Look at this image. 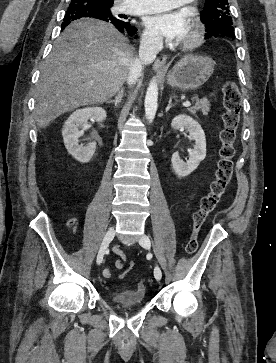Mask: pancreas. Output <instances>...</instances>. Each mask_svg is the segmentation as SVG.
I'll use <instances>...</instances> for the list:
<instances>
[{
  "label": "pancreas",
  "mask_w": 276,
  "mask_h": 363,
  "mask_svg": "<svg viewBox=\"0 0 276 363\" xmlns=\"http://www.w3.org/2000/svg\"><path fill=\"white\" fill-rule=\"evenodd\" d=\"M195 101V105L188 109L192 114H196L197 111H200L203 115H208L210 110V102L207 99H198L197 97H193Z\"/></svg>",
  "instance_id": "1"
}]
</instances>
